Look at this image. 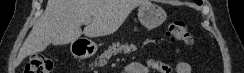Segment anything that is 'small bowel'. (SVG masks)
Returning <instances> with one entry per match:
<instances>
[{
  "instance_id": "obj_1",
  "label": "small bowel",
  "mask_w": 244,
  "mask_h": 73,
  "mask_svg": "<svg viewBox=\"0 0 244 73\" xmlns=\"http://www.w3.org/2000/svg\"><path fill=\"white\" fill-rule=\"evenodd\" d=\"M191 73V66L187 62H179L175 68L159 60H147L146 62L133 61L124 69V73Z\"/></svg>"
}]
</instances>
